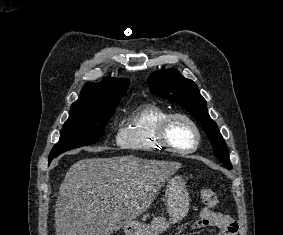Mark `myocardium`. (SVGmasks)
I'll list each match as a JSON object with an SVG mask.
<instances>
[{"label": "myocardium", "mask_w": 283, "mask_h": 235, "mask_svg": "<svg viewBox=\"0 0 283 235\" xmlns=\"http://www.w3.org/2000/svg\"><path fill=\"white\" fill-rule=\"evenodd\" d=\"M176 119L186 121L193 129V132L195 135V142L192 147L186 148V149H180V148L174 147L171 144L168 138V128L171 122H173ZM156 134H157V139L159 143L163 146V148H165L169 152L176 153V154H182V155L195 152L197 148L199 147L200 141H201L200 129L198 125L196 124V122L189 115L185 113H181V112L169 113L167 116H165L159 123Z\"/></svg>", "instance_id": "myocardium-1"}]
</instances>
